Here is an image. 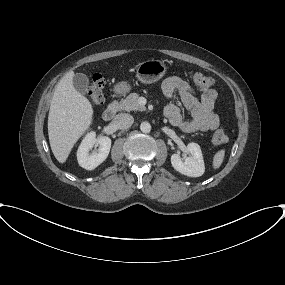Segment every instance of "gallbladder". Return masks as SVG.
<instances>
[{"label":"gallbladder","instance_id":"obj_1","mask_svg":"<svg viewBox=\"0 0 285 285\" xmlns=\"http://www.w3.org/2000/svg\"><path fill=\"white\" fill-rule=\"evenodd\" d=\"M73 85L79 93L86 94L89 86V79L83 73H76L73 76Z\"/></svg>","mask_w":285,"mask_h":285}]
</instances>
